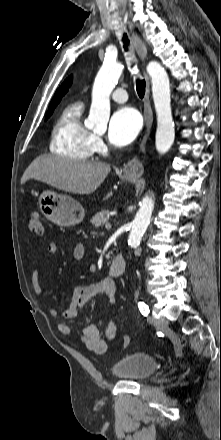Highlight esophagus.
Segmentation results:
<instances>
[{"label":"esophagus","mask_w":221,"mask_h":440,"mask_svg":"<svg viewBox=\"0 0 221 440\" xmlns=\"http://www.w3.org/2000/svg\"><path fill=\"white\" fill-rule=\"evenodd\" d=\"M129 28L132 31V38L136 52L142 64L144 65L147 59L146 45L144 44L142 39L138 36V34L133 31V26L130 23H129ZM144 76L146 81V88H145V96H144V131L139 144V152L141 154L145 153L146 143L150 135V131L153 123V112L150 103V81L146 71H144ZM143 171L144 168L142 165V160L139 157H134L131 160H129L124 165V169H123L124 174L131 177H140L143 174Z\"/></svg>","instance_id":"esophagus-1"}]
</instances>
